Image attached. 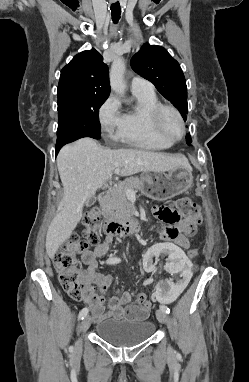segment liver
Wrapping results in <instances>:
<instances>
[{
	"instance_id": "1",
	"label": "liver",
	"mask_w": 249,
	"mask_h": 382,
	"mask_svg": "<svg viewBox=\"0 0 249 382\" xmlns=\"http://www.w3.org/2000/svg\"><path fill=\"white\" fill-rule=\"evenodd\" d=\"M191 168L183 156L140 149H106L89 137L64 146L57 157V167L64 189L63 199L46 234V252L53 259L60 245L76 228L83 207L112 177L115 169L121 176L138 172H165L177 167Z\"/></svg>"
}]
</instances>
